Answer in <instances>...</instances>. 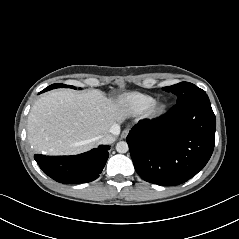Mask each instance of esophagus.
<instances>
[{
  "instance_id": "1",
  "label": "esophagus",
  "mask_w": 239,
  "mask_h": 239,
  "mask_svg": "<svg viewBox=\"0 0 239 239\" xmlns=\"http://www.w3.org/2000/svg\"><path fill=\"white\" fill-rule=\"evenodd\" d=\"M129 131H130V129H128V128L124 129L121 133V138H123V139L126 138Z\"/></svg>"
}]
</instances>
